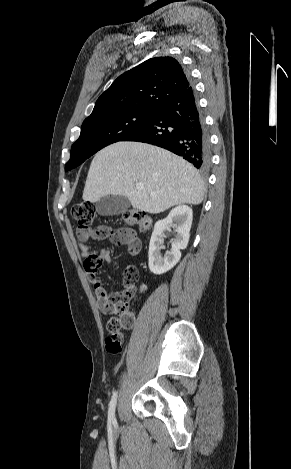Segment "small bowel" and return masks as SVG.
Returning a JSON list of instances; mask_svg holds the SVG:
<instances>
[{
	"label": "small bowel",
	"mask_w": 291,
	"mask_h": 469,
	"mask_svg": "<svg viewBox=\"0 0 291 469\" xmlns=\"http://www.w3.org/2000/svg\"><path fill=\"white\" fill-rule=\"evenodd\" d=\"M108 227V226H107ZM109 229H112L108 227ZM113 230V229H112ZM123 231V236L119 240H113L118 244H125L127 250L131 255H136L141 249L140 239L137 237L136 233L133 230L125 229ZM77 245L79 247L80 256L85 259L84 267L88 274L90 281L94 284V289L96 293L97 304L100 309L109 314L111 309L114 306V297L119 293L110 294L106 287L97 279L96 272H91L87 269L86 263L89 259H98L102 261V264H105L106 267H109L112 263V256L109 250L107 249H97L94 250L88 244L89 238L86 237L81 231H77ZM100 283L102 285L101 289L95 288V284Z\"/></svg>",
	"instance_id": "c3829d8e"
}]
</instances>
